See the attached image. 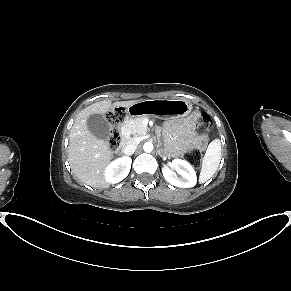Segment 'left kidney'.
Segmentation results:
<instances>
[{"mask_svg": "<svg viewBox=\"0 0 291 291\" xmlns=\"http://www.w3.org/2000/svg\"><path fill=\"white\" fill-rule=\"evenodd\" d=\"M171 166L176 170L179 176L169 167L165 166L162 168V173L167 182L180 188H189L196 185V172L189 162L181 159H174Z\"/></svg>", "mask_w": 291, "mask_h": 291, "instance_id": "obj_1", "label": "left kidney"}]
</instances>
